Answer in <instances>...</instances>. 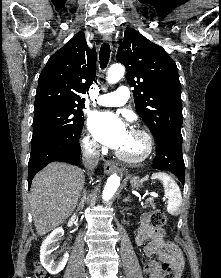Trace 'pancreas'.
Here are the masks:
<instances>
[{
	"mask_svg": "<svg viewBox=\"0 0 221 278\" xmlns=\"http://www.w3.org/2000/svg\"><path fill=\"white\" fill-rule=\"evenodd\" d=\"M154 208L155 204L153 203V198H149L146 200V205L143 208Z\"/></svg>",
	"mask_w": 221,
	"mask_h": 278,
	"instance_id": "pancreas-1",
	"label": "pancreas"
}]
</instances>
